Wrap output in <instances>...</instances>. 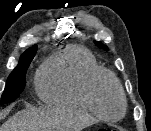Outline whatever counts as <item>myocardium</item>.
I'll return each instance as SVG.
<instances>
[{"instance_id": "1", "label": "myocardium", "mask_w": 151, "mask_h": 131, "mask_svg": "<svg viewBox=\"0 0 151 131\" xmlns=\"http://www.w3.org/2000/svg\"><path fill=\"white\" fill-rule=\"evenodd\" d=\"M103 80H109L114 85L115 89L117 90V92L121 98L122 109H121L120 114L115 117H110V116L106 115L100 109V107L98 106V103H97L98 85ZM85 94H86L87 100H88L91 108L95 112V114L103 119L117 120V119H120L121 117H123L124 114L126 113L127 97H126L125 91H124L120 81L118 80V78L107 69L97 68L91 72V74L89 75L87 82H86Z\"/></svg>"}]
</instances>
